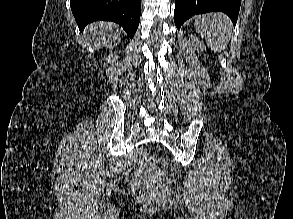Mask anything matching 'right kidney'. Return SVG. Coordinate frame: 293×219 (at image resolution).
Returning <instances> with one entry per match:
<instances>
[{
  "instance_id": "right-kidney-1",
  "label": "right kidney",
  "mask_w": 293,
  "mask_h": 219,
  "mask_svg": "<svg viewBox=\"0 0 293 219\" xmlns=\"http://www.w3.org/2000/svg\"><path fill=\"white\" fill-rule=\"evenodd\" d=\"M111 57L112 56H108V57H106L105 59H104V61L107 63H109V62H111L112 60H111ZM114 60V59H113Z\"/></svg>"
}]
</instances>
